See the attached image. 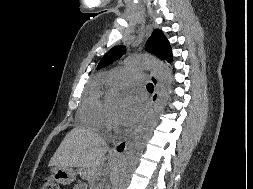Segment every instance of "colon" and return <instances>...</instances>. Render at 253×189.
<instances>
[{"instance_id": "1", "label": "colon", "mask_w": 253, "mask_h": 189, "mask_svg": "<svg viewBox=\"0 0 253 189\" xmlns=\"http://www.w3.org/2000/svg\"><path fill=\"white\" fill-rule=\"evenodd\" d=\"M41 189H61L60 186L50 177L44 179Z\"/></svg>"}]
</instances>
